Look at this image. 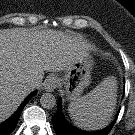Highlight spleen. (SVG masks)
Segmentation results:
<instances>
[{
  "instance_id": "spleen-1",
  "label": "spleen",
  "mask_w": 135,
  "mask_h": 135,
  "mask_svg": "<svg viewBox=\"0 0 135 135\" xmlns=\"http://www.w3.org/2000/svg\"><path fill=\"white\" fill-rule=\"evenodd\" d=\"M116 97L117 80L109 76L86 95L71 101L68 106L69 115L74 124L82 129H102L111 121Z\"/></svg>"
}]
</instances>
